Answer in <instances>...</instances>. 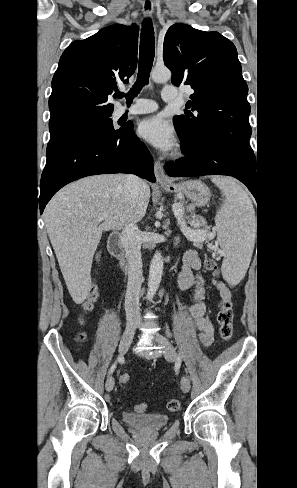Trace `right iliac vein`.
I'll use <instances>...</instances> for the list:
<instances>
[{"mask_svg": "<svg viewBox=\"0 0 297 488\" xmlns=\"http://www.w3.org/2000/svg\"><path fill=\"white\" fill-rule=\"evenodd\" d=\"M136 327H137V322L135 320H129L127 322L126 328L124 330V333L121 337L120 344H119V352L121 354L126 353V351L128 350V348H129V346L133 340ZM114 384H115L114 378L112 376H110L107 379L106 384H105L106 390L108 392L112 391Z\"/></svg>", "mask_w": 297, "mask_h": 488, "instance_id": "right-iliac-vein-1", "label": "right iliac vein"}]
</instances>
